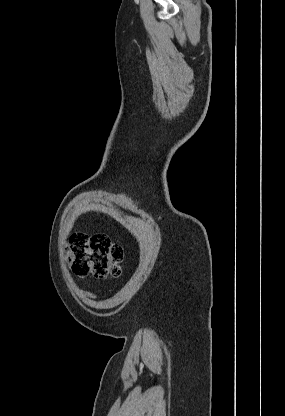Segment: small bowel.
<instances>
[{"label": "small bowel", "mask_w": 285, "mask_h": 416, "mask_svg": "<svg viewBox=\"0 0 285 416\" xmlns=\"http://www.w3.org/2000/svg\"><path fill=\"white\" fill-rule=\"evenodd\" d=\"M86 296L91 299H96L97 297L93 294L87 293Z\"/></svg>", "instance_id": "1"}]
</instances>
